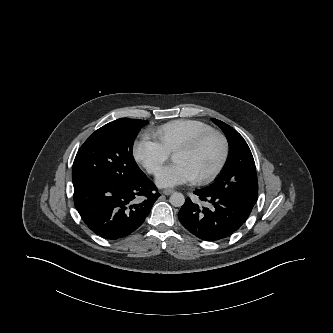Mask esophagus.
Wrapping results in <instances>:
<instances>
[{
  "mask_svg": "<svg viewBox=\"0 0 333 333\" xmlns=\"http://www.w3.org/2000/svg\"><path fill=\"white\" fill-rule=\"evenodd\" d=\"M174 192V190H172V189H164L163 191H162V193L164 194V195H170V194H172Z\"/></svg>",
  "mask_w": 333,
  "mask_h": 333,
  "instance_id": "1",
  "label": "esophagus"
}]
</instances>
